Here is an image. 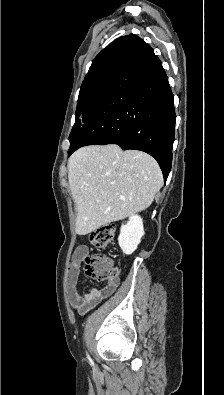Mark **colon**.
<instances>
[{
  "label": "colon",
  "mask_w": 224,
  "mask_h": 395,
  "mask_svg": "<svg viewBox=\"0 0 224 395\" xmlns=\"http://www.w3.org/2000/svg\"><path fill=\"white\" fill-rule=\"evenodd\" d=\"M115 228L102 226L89 234L91 245L97 250H103L113 240ZM85 272L87 276L97 282H111L118 276L119 270L109 259L100 255H90L85 258Z\"/></svg>",
  "instance_id": "1"
}]
</instances>
